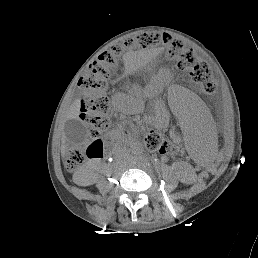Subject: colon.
Here are the masks:
<instances>
[{"instance_id": "colon-1", "label": "colon", "mask_w": 258, "mask_h": 258, "mask_svg": "<svg viewBox=\"0 0 258 258\" xmlns=\"http://www.w3.org/2000/svg\"><path fill=\"white\" fill-rule=\"evenodd\" d=\"M158 45L164 46L182 68L190 70L192 79L200 84L205 94L214 92L215 84L209 65L205 61L197 59L192 50L186 49L179 40L167 34L156 32L141 34L134 39L127 40L124 45H116L100 54L81 78L83 90L81 111L84 121L91 127L95 135L109 125L106 115L108 109L106 90L115 71L117 57L125 48L149 49ZM144 140L151 150L163 154L171 150L170 142L157 131L148 132ZM96 146H98L99 154L102 155L103 143L99 142ZM83 160V152L80 149H72L67 155L66 167L73 171Z\"/></svg>"}]
</instances>
